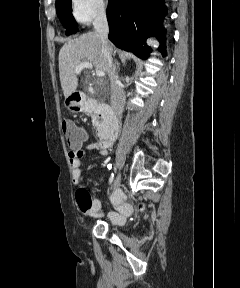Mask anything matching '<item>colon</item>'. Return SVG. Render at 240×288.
<instances>
[{
  "label": "colon",
  "mask_w": 240,
  "mask_h": 288,
  "mask_svg": "<svg viewBox=\"0 0 240 288\" xmlns=\"http://www.w3.org/2000/svg\"><path fill=\"white\" fill-rule=\"evenodd\" d=\"M62 129L70 147L81 145L85 140V134L72 121H64Z\"/></svg>",
  "instance_id": "1"
}]
</instances>
